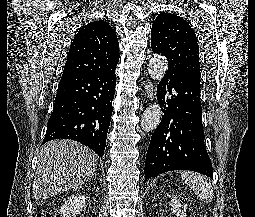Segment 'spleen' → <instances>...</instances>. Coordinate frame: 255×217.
<instances>
[{"label":"spleen","instance_id":"1","mask_svg":"<svg viewBox=\"0 0 255 217\" xmlns=\"http://www.w3.org/2000/svg\"><path fill=\"white\" fill-rule=\"evenodd\" d=\"M181 178L201 200L205 202L212 201L214 196L213 188L204 176L195 172L185 171L181 173Z\"/></svg>","mask_w":255,"mask_h":217}]
</instances>
